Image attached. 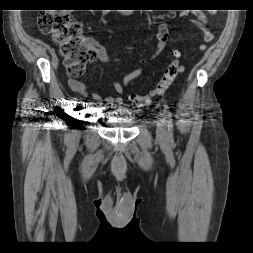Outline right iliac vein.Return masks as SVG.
<instances>
[{"label":"right iliac vein","instance_id":"right-iliac-vein-1","mask_svg":"<svg viewBox=\"0 0 253 253\" xmlns=\"http://www.w3.org/2000/svg\"><path fill=\"white\" fill-rule=\"evenodd\" d=\"M78 113L77 111H74L71 119V124L69 125L70 132L74 135V140L77 139V129L76 127L78 126Z\"/></svg>","mask_w":253,"mask_h":253}]
</instances>
